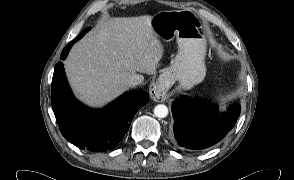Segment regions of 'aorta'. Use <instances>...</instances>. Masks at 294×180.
<instances>
[{"instance_id":"1","label":"aorta","mask_w":294,"mask_h":180,"mask_svg":"<svg viewBox=\"0 0 294 180\" xmlns=\"http://www.w3.org/2000/svg\"><path fill=\"white\" fill-rule=\"evenodd\" d=\"M154 115L157 118H165L168 115V108L164 104H159L154 108Z\"/></svg>"}]
</instances>
